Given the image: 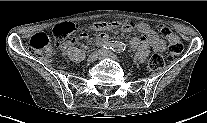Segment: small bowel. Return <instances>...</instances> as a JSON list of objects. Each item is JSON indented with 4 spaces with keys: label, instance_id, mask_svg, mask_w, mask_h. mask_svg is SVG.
<instances>
[{
    "label": "small bowel",
    "instance_id": "c3829d8e",
    "mask_svg": "<svg viewBox=\"0 0 207 123\" xmlns=\"http://www.w3.org/2000/svg\"><path fill=\"white\" fill-rule=\"evenodd\" d=\"M118 27H121L123 31H130L134 28L139 31L142 36L141 37H133L130 40V45L132 48H137L139 46H145L149 44L154 51L161 52L165 48V42L163 39L155 32L147 23L141 22L137 23L134 20H127L125 22H97L94 23L90 29L95 32H99L100 34L97 37V43L102 45L107 43L108 36L104 33L105 31H111ZM87 38V32L82 31L79 36V39L85 40ZM78 38H75L74 41L60 44V50L65 52L68 46L72 43H76Z\"/></svg>",
    "mask_w": 207,
    "mask_h": 123
}]
</instances>
